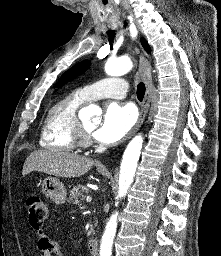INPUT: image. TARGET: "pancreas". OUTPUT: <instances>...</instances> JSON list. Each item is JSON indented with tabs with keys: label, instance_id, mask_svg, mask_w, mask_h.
Segmentation results:
<instances>
[{
	"label": "pancreas",
	"instance_id": "1",
	"mask_svg": "<svg viewBox=\"0 0 221 256\" xmlns=\"http://www.w3.org/2000/svg\"><path fill=\"white\" fill-rule=\"evenodd\" d=\"M88 193L89 189L87 187H85L84 185H78L70 191L68 201L72 202L73 204H79L81 201L84 200Z\"/></svg>",
	"mask_w": 221,
	"mask_h": 256
}]
</instances>
